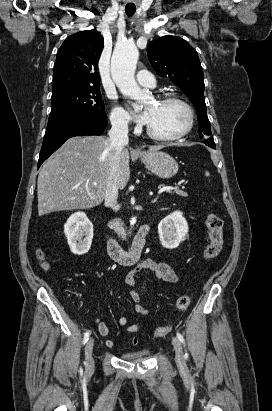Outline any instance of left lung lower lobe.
I'll return each mask as SVG.
<instances>
[{
  "instance_id": "obj_1",
  "label": "left lung lower lobe",
  "mask_w": 272,
  "mask_h": 411,
  "mask_svg": "<svg viewBox=\"0 0 272 411\" xmlns=\"http://www.w3.org/2000/svg\"><path fill=\"white\" fill-rule=\"evenodd\" d=\"M205 144L211 147L212 149H215V143L212 137L205 140Z\"/></svg>"
}]
</instances>
